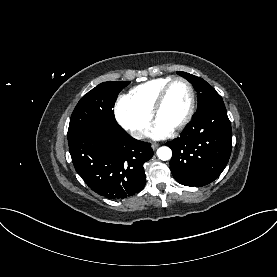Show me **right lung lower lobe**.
Instances as JSON below:
<instances>
[{
	"instance_id": "98d812e1",
	"label": "right lung lower lobe",
	"mask_w": 277,
	"mask_h": 277,
	"mask_svg": "<svg viewBox=\"0 0 277 277\" xmlns=\"http://www.w3.org/2000/svg\"><path fill=\"white\" fill-rule=\"evenodd\" d=\"M69 151L77 173L96 193L122 199L146 183L144 163L151 159L150 143L132 138L122 128L96 127L73 142Z\"/></svg>"
}]
</instances>
